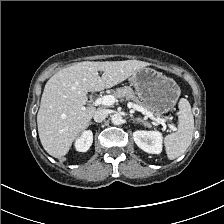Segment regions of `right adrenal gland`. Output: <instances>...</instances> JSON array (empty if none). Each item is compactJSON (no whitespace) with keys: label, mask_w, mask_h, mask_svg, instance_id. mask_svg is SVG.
I'll use <instances>...</instances> for the list:
<instances>
[{"label":"right adrenal gland","mask_w":224,"mask_h":224,"mask_svg":"<svg viewBox=\"0 0 224 224\" xmlns=\"http://www.w3.org/2000/svg\"><path fill=\"white\" fill-rule=\"evenodd\" d=\"M94 124V122H89V125Z\"/></svg>","instance_id":"right-adrenal-gland-1"}]
</instances>
